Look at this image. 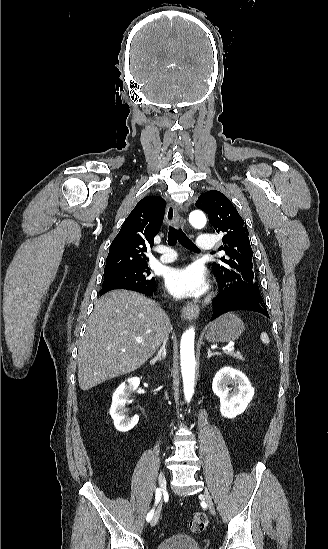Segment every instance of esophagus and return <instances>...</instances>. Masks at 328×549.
Instances as JSON below:
<instances>
[{
	"label": "esophagus",
	"mask_w": 328,
	"mask_h": 549,
	"mask_svg": "<svg viewBox=\"0 0 328 549\" xmlns=\"http://www.w3.org/2000/svg\"><path fill=\"white\" fill-rule=\"evenodd\" d=\"M165 217L166 222L171 225L178 226L183 225L184 223L183 218L179 215L173 204H168ZM199 311V307L196 304L187 303L181 311V316L183 319L187 320L197 319L199 316Z\"/></svg>",
	"instance_id": "esophagus-1"
}]
</instances>
